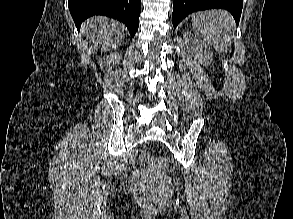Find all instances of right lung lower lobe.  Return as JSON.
<instances>
[{
  "instance_id": "98d812e1",
  "label": "right lung lower lobe",
  "mask_w": 293,
  "mask_h": 219,
  "mask_svg": "<svg viewBox=\"0 0 293 219\" xmlns=\"http://www.w3.org/2000/svg\"><path fill=\"white\" fill-rule=\"evenodd\" d=\"M68 6L77 29L93 15H104L124 23L132 37L139 26L141 0H68Z\"/></svg>"
}]
</instances>
